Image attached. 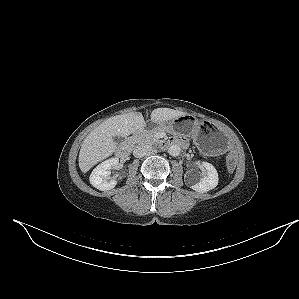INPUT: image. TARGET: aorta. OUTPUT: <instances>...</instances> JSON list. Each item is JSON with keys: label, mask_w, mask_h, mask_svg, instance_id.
<instances>
[{"label": "aorta", "mask_w": 299, "mask_h": 299, "mask_svg": "<svg viewBox=\"0 0 299 299\" xmlns=\"http://www.w3.org/2000/svg\"><path fill=\"white\" fill-rule=\"evenodd\" d=\"M180 151H181L180 147L176 144H173L168 148L169 155L174 157L178 156L180 154Z\"/></svg>", "instance_id": "aorta-1"}]
</instances>
